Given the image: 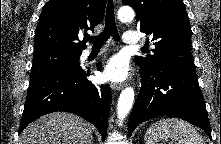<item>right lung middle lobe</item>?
I'll return each mask as SVG.
<instances>
[{"label": "right lung middle lobe", "mask_w": 221, "mask_h": 144, "mask_svg": "<svg viewBox=\"0 0 221 144\" xmlns=\"http://www.w3.org/2000/svg\"><path fill=\"white\" fill-rule=\"evenodd\" d=\"M81 53L44 51L34 53L30 81L53 70L79 64Z\"/></svg>", "instance_id": "1"}]
</instances>
